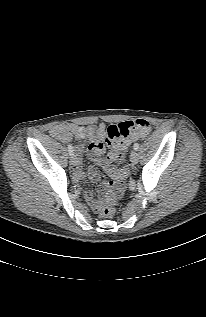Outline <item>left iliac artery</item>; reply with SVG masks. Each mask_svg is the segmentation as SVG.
<instances>
[{
	"instance_id": "obj_1",
	"label": "left iliac artery",
	"mask_w": 206,
	"mask_h": 317,
	"mask_svg": "<svg viewBox=\"0 0 206 317\" xmlns=\"http://www.w3.org/2000/svg\"><path fill=\"white\" fill-rule=\"evenodd\" d=\"M133 148H134V150H138L139 144H138V143H135V144L133 145Z\"/></svg>"
}]
</instances>
